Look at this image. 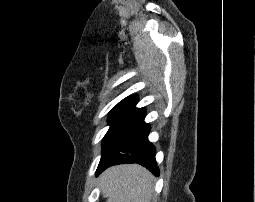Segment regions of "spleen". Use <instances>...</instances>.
I'll return each instance as SVG.
<instances>
[{
	"instance_id": "spleen-1",
	"label": "spleen",
	"mask_w": 255,
	"mask_h": 202,
	"mask_svg": "<svg viewBox=\"0 0 255 202\" xmlns=\"http://www.w3.org/2000/svg\"><path fill=\"white\" fill-rule=\"evenodd\" d=\"M153 176L139 165H123L108 170L102 180L107 202H150Z\"/></svg>"
}]
</instances>
